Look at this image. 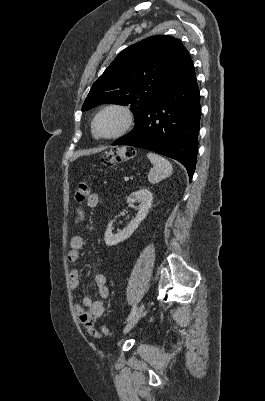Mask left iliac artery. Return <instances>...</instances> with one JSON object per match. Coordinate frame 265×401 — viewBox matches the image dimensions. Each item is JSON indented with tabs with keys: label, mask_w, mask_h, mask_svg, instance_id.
I'll list each match as a JSON object with an SVG mask.
<instances>
[{
	"label": "left iliac artery",
	"mask_w": 265,
	"mask_h": 401,
	"mask_svg": "<svg viewBox=\"0 0 265 401\" xmlns=\"http://www.w3.org/2000/svg\"><path fill=\"white\" fill-rule=\"evenodd\" d=\"M136 310H137V306L134 305L132 310H131V312H130V314H129V316H128V318H127V321H129L133 317V315L135 314Z\"/></svg>",
	"instance_id": "1"
}]
</instances>
